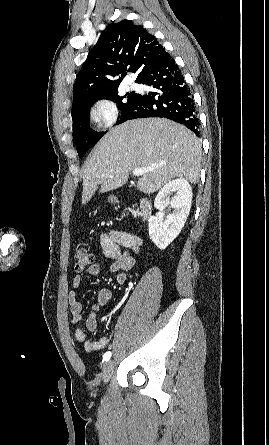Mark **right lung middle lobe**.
<instances>
[{
  "mask_svg": "<svg viewBox=\"0 0 269 445\" xmlns=\"http://www.w3.org/2000/svg\"><path fill=\"white\" fill-rule=\"evenodd\" d=\"M138 96L139 94H135L134 92L120 96L118 95V90H115L93 97L72 107L74 142L79 157H82L105 134V132H96L90 128L88 115L91 106L100 99H109L117 102L122 110V115L118 123H122L129 115Z\"/></svg>",
  "mask_w": 269,
  "mask_h": 445,
  "instance_id": "1",
  "label": "right lung middle lobe"
}]
</instances>
